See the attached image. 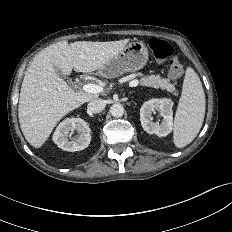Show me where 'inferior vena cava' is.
Wrapping results in <instances>:
<instances>
[{
	"instance_id": "obj_1",
	"label": "inferior vena cava",
	"mask_w": 232,
	"mask_h": 232,
	"mask_svg": "<svg viewBox=\"0 0 232 232\" xmlns=\"http://www.w3.org/2000/svg\"><path fill=\"white\" fill-rule=\"evenodd\" d=\"M105 106H106L105 100L94 99L88 103L87 109L89 112L99 113L105 108Z\"/></svg>"
}]
</instances>
